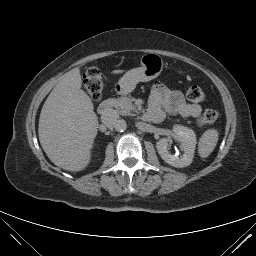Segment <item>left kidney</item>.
Returning <instances> with one entry per match:
<instances>
[{
    "instance_id": "obj_1",
    "label": "left kidney",
    "mask_w": 256,
    "mask_h": 256,
    "mask_svg": "<svg viewBox=\"0 0 256 256\" xmlns=\"http://www.w3.org/2000/svg\"><path fill=\"white\" fill-rule=\"evenodd\" d=\"M174 137L181 142L184 154L180 157L172 155L168 150L169 139L162 138L156 143L161 158L169 165L183 168L192 163L196 147V135L192 129L176 125L173 127Z\"/></svg>"
}]
</instances>
